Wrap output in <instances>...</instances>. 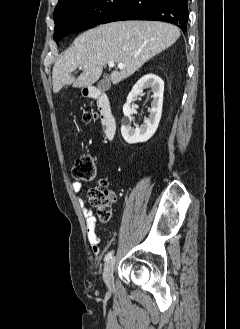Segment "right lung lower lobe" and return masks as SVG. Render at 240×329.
I'll use <instances>...</instances> for the list:
<instances>
[{"label": "right lung lower lobe", "instance_id": "right-lung-lower-lobe-1", "mask_svg": "<svg viewBox=\"0 0 240 329\" xmlns=\"http://www.w3.org/2000/svg\"><path fill=\"white\" fill-rule=\"evenodd\" d=\"M122 20H157L187 30V0H125L101 24Z\"/></svg>", "mask_w": 240, "mask_h": 329}]
</instances>
